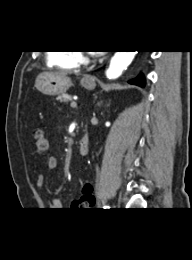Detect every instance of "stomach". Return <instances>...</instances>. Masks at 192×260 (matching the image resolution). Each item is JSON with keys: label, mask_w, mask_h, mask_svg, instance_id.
<instances>
[{"label": "stomach", "mask_w": 192, "mask_h": 260, "mask_svg": "<svg viewBox=\"0 0 192 260\" xmlns=\"http://www.w3.org/2000/svg\"><path fill=\"white\" fill-rule=\"evenodd\" d=\"M81 85L87 90H93L96 87L95 79L84 78L81 80ZM71 86L70 78L62 73H42L35 82L36 89L48 96L64 94Z\"/></svg>", "instance_id": "stomach-1"}]
</instances>
